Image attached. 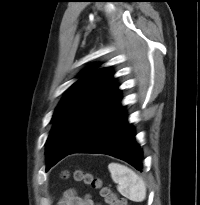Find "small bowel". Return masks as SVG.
<instances>
[{"mask_svg":"<svg viewBox=\"0 0 200 205\" xmlns=\"http://www.w3.org/2000/svg\"><path fill=\"white\" fill-rule=\"evenodd\" d=\"M59 205H95L90 198H81L68 192Z\"/></svg>","mask_w":200,"mask_h":205,"instance_id":"small-bowel-1","label":"small bowel"}]
</instances>
